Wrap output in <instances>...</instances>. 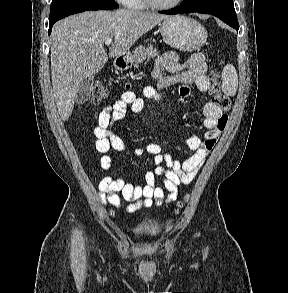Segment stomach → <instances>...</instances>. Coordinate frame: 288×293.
<instances>
[{"label": "stomach", "instance_id": "1", "mask_svg": "<svg viewBox=\"0 0 288 293\" xmlns=\"http://www.w3.org/2000/svg\"><path fill=\"white\" fill-rule=\"evenodd\" d=\"M161 33L167 44L180 51H194L201 48L207 40L206 29L194 19L185 16H170L162 22ZM133 62L130 53L117 59V68L125 70Z\"/></svg>", "mask_w": 288, "mask_h": 293}]
</instances>
